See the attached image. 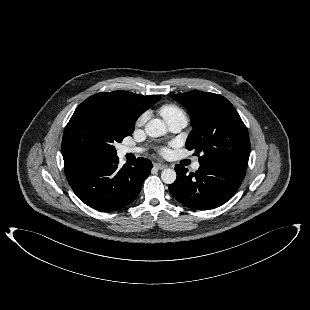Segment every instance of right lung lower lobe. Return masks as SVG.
I'll return each mask as SVG.
<instances>
[{"label":"right lung lower lobe","instance_id":"obj_1","mask_svg":"<svg viewBox=\"0 0 310 310\" xmlns=\"http://www.w3.org/2000/svg\"><path fill=\"white\" fill-rule=\"evenodd\" d=\"M118 164L117 155L92 157L64 163V171L69 185L82 202L109 212L136 199L152 168L151 161L141 157L122 168Z\"/></svg>","mask_w":310,"mask_h":310}]
</instances>
